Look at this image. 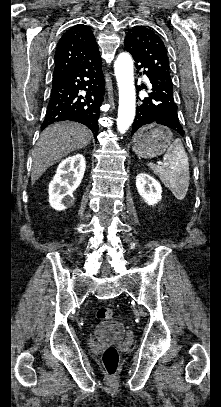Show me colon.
<instances>
[{"label":"colon","instance_id":"1","mask_svg":"<svg viewBox=\"0 0 221 407\" xmlns=\"http://www.w3.org/2000/svg\"><path fill=\"white\" fill-rule=\"evenodd\" d=\"M113 313L109 307H99L96 311V318L100 321H108ZM118 352L114 346H108L102 353V361L105 372L108 376H114L118 368Z\"/></svg>","mask_w":221,"mask_h":407}]
</instances>
